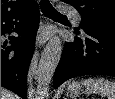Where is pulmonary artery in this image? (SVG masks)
<instances>
[{"label": "pulmonary artery", "instance_id": "pulmonary-artery-1", "mask_svg": "<svg viewBox=\"0 0 115 99\" xmlns=\"http://www.w3.org/2000/svg\"><path fill=\"white\" fill-rule=\"evenodd\" d=\"M61 11L63 13H66V14L70 15L76 22L81 21L80 14L77 11H75V10L69 8V7H66V6L61 7Z\"/></svg>", "mask_w": 115, "mask_h": 99}]
</instances>
